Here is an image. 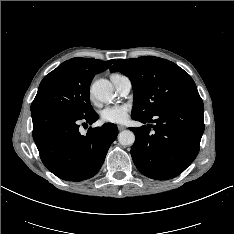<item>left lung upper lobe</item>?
I'll use <instances>...</instances> for the list:
<instances>
[{"mask_svg": "<svg viewBox=\"0 0 234 234\" xmlns=\"http://www.w3.org/2000/svg\"><path fill=\"white\" fill-rule=\"evenodd\" d=\"M110 71L120 72L131 80L134 89L133 119L148 118L169 106L200 97L190 75L162 58L118 59Z\"/></svg>", "mask_w": 234, "mask_h": 234, "instance_id": "left-lung-upper-lobe-1", "label": "left lung upper lobe"}]
</instances>
